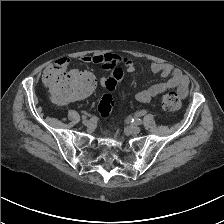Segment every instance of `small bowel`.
I'll use <instances>...</instances> for the list:
<instances>
[{"instance_id":"1","label":"small bowel","mask_w":224,"mask_h":224,"mask_svg":"<svg viewBox=\"0 0 224 224\" xmlns=\"http://www.w3.org/2000/svg\"><path fill=\"white\" fill-rule=\"evenodd\" d=\"M83 63L98 64L104 69H112L114 67H123L127 72H134L136 70L135 62L128 57L121 56L114 53H103L98 55H85L80 58ZM70 60L66 57L59 58L56 61L58 68H64L69 64ZM56 67L47 68L44 76L47 77L53 73ZM150 69L153 73L160 74L161 77L167 78L163 82L156 83L145 90L139 91L135 98L142 103L150 102L153 98L163 93L168 89H176L178 95L184 98L188 94L189 80L183 73L169 64L152 63Z\"/></svg>"}]
</instances>
